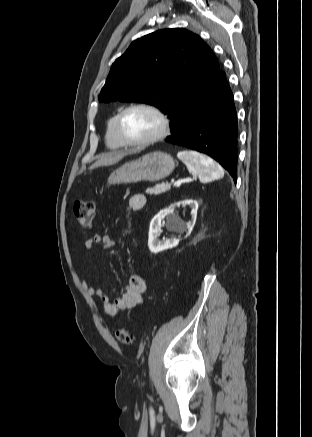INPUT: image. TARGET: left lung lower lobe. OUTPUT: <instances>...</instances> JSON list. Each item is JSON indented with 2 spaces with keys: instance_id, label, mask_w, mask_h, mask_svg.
Returning a JSON list of instances; mask_svg holds the SVG:
<instances>
[{
  "instance_id": "1",
  "label": "left lung lower lobe",
  "mask_w": 312,
  "mask_h": 437,
  "mask_svg": "<svg viewBox=\"0 0 312 437\" xmlns=\"http://www.w3.org/2000/svg\"><path fill=\"white\" fill-rule=\"evenodd\" d=\"M165 141L203 152L237 179V114L226 76L219 72Z\"/></svg>"
}]
</instances>
